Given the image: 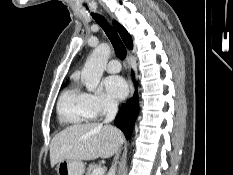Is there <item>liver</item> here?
<instances>
[{
  "mask_svg": "<svg viewBox=\"0 0 233 175\" xmlns=\"http://www.w3.org/2000/svg\"><path fill=\"white\" fill-rule=\"evenodd\" d=\"M122 141V132L110 125L86 123L69 126L56 134L51 141V167L63 160L109 158Z\"/></svg>",
  "mask_w": 233,
  "mask_h": 175,
  "instance_id": "obj_1",
  "label": "liver"
}]
</instances>
